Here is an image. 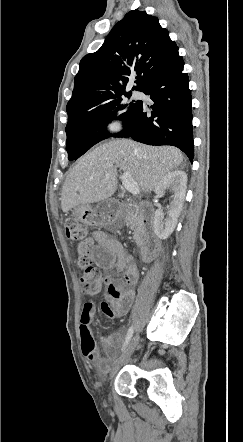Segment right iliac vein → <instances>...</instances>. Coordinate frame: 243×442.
<instances>
[{
	"label": "right iliac vein",
	"instance_id": "obj_1",
	"mask_svg": "<svg viewBox=\"0 0 243 442\" xmlns=\"http://www.w3.org/2000/svg\"><path fill=\"white\" fill-rule=\"evenodd\" d=\"M138 341H139V335L136 334L133 336V338L131 339L128 347L126 348V350L123 352V354L119 357V359L115 362L113 369L111 371L110 377L109 379H111L115 373L118 371L119 367L130 358V356L132 355V353L134 352V350L136 349L137 345H138Z\"/></svg>",
	"mask_w": 243,
	"mask_h": 442
}]
</instances>
